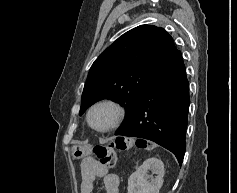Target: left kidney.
Segmentation results:
<instances>
[{
	"instance_id": "5707ae66",
	"label": "left kidney",
	"mask_w": 237,
	"mask_h": 193,
	"mask_svg": "<svg viewBox=\"0 0 237 193\" xmlns=\"http://www.w3.org/2000/svg\"><path fill=\"white\" fill-rule=\"evenodd\" d=\"M151 170L156 176L151 178L147 175ZM164 164L157 158H149L132 173L128 179V193H159L163 184Z\"/></svg>"
}]
</instances>
